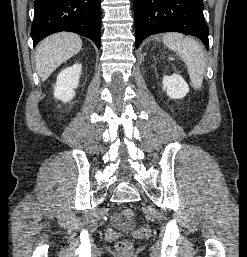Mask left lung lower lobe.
<instances>
[{
	"label": "left lung lower lobe",
	"instance_id": "1",
	"mask_svg": "<svg viewBox=\"0 0 247 257\" xmlns=\"http://www.w3.org/2000/svg\"><path fill=\"white\" fill-rule=\"evenodd\" d=\"M136 48L148 36L162 32L193 35L209 46L202 0H133Z\"/></svg>",
	"mask_w": 247,
	"mask_h": 257
}]
</instances>
